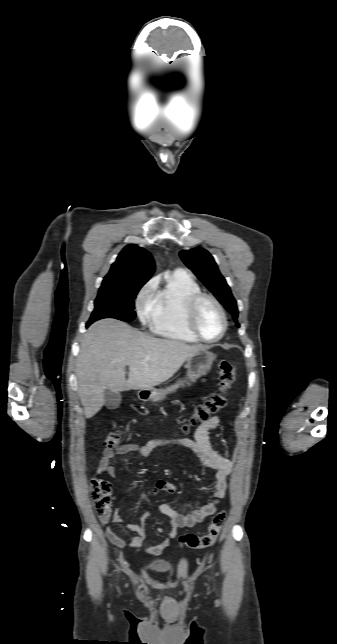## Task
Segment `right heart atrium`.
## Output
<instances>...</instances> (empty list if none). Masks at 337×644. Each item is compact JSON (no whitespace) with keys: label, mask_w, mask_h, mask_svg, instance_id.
I'll list each match as a JSON object with an SVG mask.
<instances>
[{"label":"right heart atrium","mask_w":337,"mask_h":644,"mask_svg":"<svg viewBox=\"0 0 337 644\" xmlns=\"http://www.w3.org/2000/svg\"><path fill=\"white\" fill-rule=\"evenodd\" d=\"M156 286V281H149L139 292L136 299V308L138 316L142 322L150 320L153 313V292Z\"/></svg>","instance_id":"1"}]
</instances>
